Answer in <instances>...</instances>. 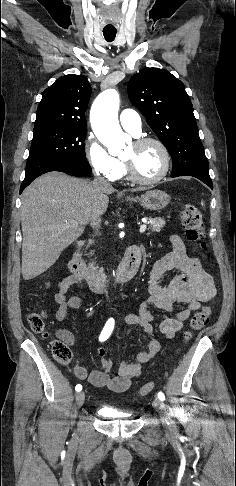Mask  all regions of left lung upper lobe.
<instances>
[{
    "label": "left lung upper lobe",
    "instance_id": "1",
    "mask_svg": "<svg viewBox=\"0 0 236 486\" xmlns=\"http://www.w3.org/2000/svg\"><path fill=\"white\" fill-rule=\"evenodd\" d=\"M128 96L173 160L172 176H209L192 103L184 84L170 72L145 68L128 83Z\"/></svg>",
    "mask_w": 236,
    "mask_h": 486
}]
</instances>
